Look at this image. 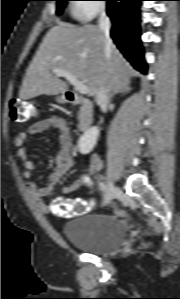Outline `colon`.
Listing matches in <instances>:
<instances>
[{
	"instance_id": "1",
	"label": "colon",
	"mask_w": 180,
	"mask_h": 299,
	"mask_svg": "<svg viewBox=\"0 0 180 299\" xmlns=\"http://www.w3.org/2000/svg\"><path fill=\"white\" fill-rule=\"evenodd\" d=\"M9 114L13 122L26 124L39 116V109L31 102L11 99L9 102ZM52 212L58 216L73 217L82 215L90 210V204L81 199L63 200L56 199L51 204Z\"/></svg>"
}]
</instances>
